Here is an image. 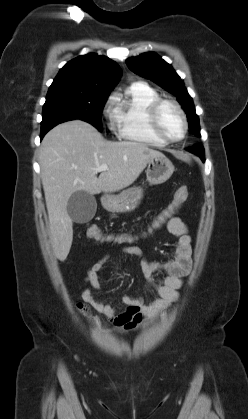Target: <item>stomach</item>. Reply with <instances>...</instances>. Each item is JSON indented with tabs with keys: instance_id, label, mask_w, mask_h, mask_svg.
Returning a JSON list of instances; mask_svg holds the SVG:
<instances>
[{
	"instance_id": "1",
	"label": "stomach",
	"mask_w": 248,
	"mask_h": 419,
	"mask_svg": "<svg viewBox=\"0 0 248 419\" xmlns=\"http://www.w3.org/2000/svg\"><path fill=\"white\" fill-rule=\"evenodd\" d=\"M174 172L172 162L165 156L152 157L148 161L146 169L147 181L151 185L162 184L167 181ZM143 197L141 187H133L121 192L118 195L106 196L103 200V206L110 212L124 213L133 211L140 203Z\"/></svg>"
}]
</instances>
